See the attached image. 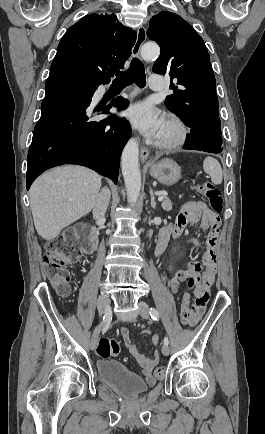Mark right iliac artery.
Masks as SVG:
<instances>
[{
  "label": "right iliac artery",
  "instance_id": "obj_1",
  "mask_svg": "<svg viewBox=\"0 0 265 434\" xmlns=\"http://www.w3.org/2000/svg\"><path fill=\"white\" fill-rule=\"evenodd\" d=\"M111 318H112V311H111V308L108 307V308L105 310V315H104V317H103V322L106 323V322L109 321Z\"/></svg>",
  "mask_w": 265,
  "mask_h": 434
}]
</instances>
